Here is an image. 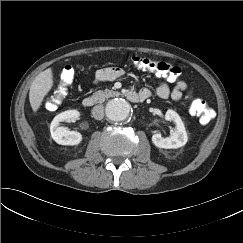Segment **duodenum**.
Wrapping results in <instances>:
<instances>
[{
    "label": "duodenum",
    "instance_id": "1",
    "mask_svg": "<svg viewBox=\"0 0 243 243\" xmlns=\"http://www.w3.org/2000/svg\"><path fill=\"white\" fill-rule=\"evenodd\" d=\"M127 98L131 102H141V101L147 99V95L139 94L137 92H130V93L127 94ZM95 104H96V99L93 98V97H90V96L89 97H85L82 100V105L85 108H90V107L94 106Z\"/></svg>",
    "mask_w": 243,
    "mask_h": 243
}]
</instances>
